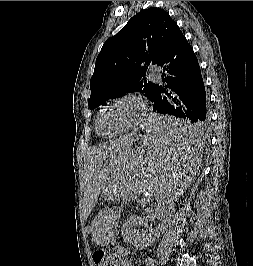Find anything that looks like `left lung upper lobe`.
I'll return each instance as SVG.
<instances>
[{"instance_id":"1","label":"left lung upper lobe","mask_w":253,"mask_h":266,"mask_svg":"<svg viewBox=\"0 0 253 266\" xmlns=\"http://www.w3.org/2000/svg\"><path fill=\"white\" fill-rule=\"evenodd\" d=\"M176 25L166 11L151 7L109 38L96 59L89 108L129 92H140L153 101L155 84L147 81L146 70L157 64Z\"/></svg>"}]
</instances>
